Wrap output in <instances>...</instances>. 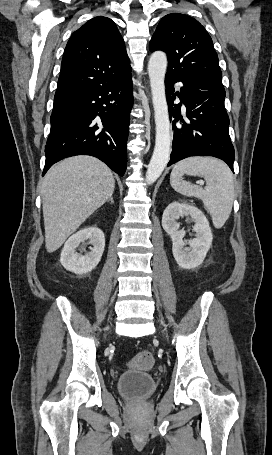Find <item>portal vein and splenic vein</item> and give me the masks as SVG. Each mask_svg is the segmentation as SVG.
I'll return each instance as SVG.
<instances>
[{
	"mask_svg": "<svg viewBox=\"0 0 272 455\" xmlns=\"http://www.w3.org/2000/svg\"><path fill=\"white\" fill-rule=\"evenodd\" d=\"M200 185H204V182L203 181H199L198 182Z\"/></svg>",
	"mask_w": 272,
	"mask_h": 455,
	"instance_id": "1",
	"label": "portal vein and splenic vein"
}]
</instances>
